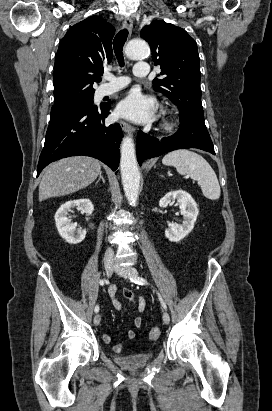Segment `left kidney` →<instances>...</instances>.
Masks as SVG:
<instances>
[{
	"instance_id": "5707ae66",
	"label": "left kidney",
	"mask_w": 272,
	"mask_h": 411,
	"mask_svg": "<svg viewBox=\"0 0 272 411\" xmlns=\"http://www.w3.org/2000/svg\"><path fill=\"white\" fill-rule=\"evenodd\" d=\"M175 199H177V202L180 204L183 221L180 224H168V229L165 230V236L171 242H179L185 238L194 228V223L199 214L196 202L190 194L183 190L168 192L160 199L159 206L166 208L171 201Z\"/></svg>"
}]
</instances>
